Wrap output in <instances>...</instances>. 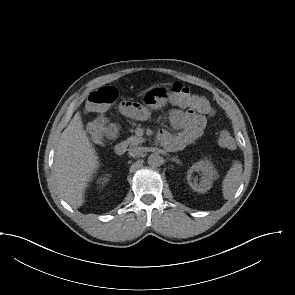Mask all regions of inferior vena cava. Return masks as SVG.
I'll return each instance as SVG.
<instances>
[{
	"label": "inferior vena cava",
	"instance_id": "1",
	"mask_svg": "<svg viewBox=\"0 0 295 295\" xmlns=\"http://www.w3.org/2000/svg\"><path fill=\"white\" fill-rule=\"evenodd\" d=\"M144 149L142 147H133L129 149V155L132 157H138L141 156Z\"/></svg>",
	"mask_w": 295,
	"mask_h": 295
}]
</instances>
